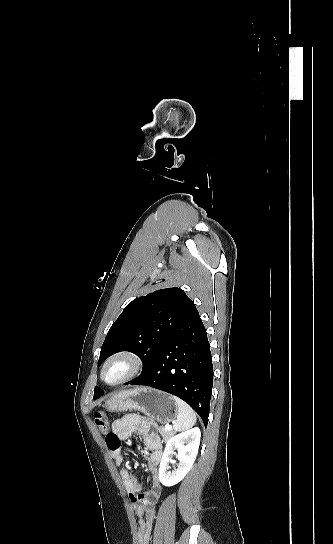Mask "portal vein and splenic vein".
<instances>
[{"mask_svg": "<svg viewBox=\"0 0 333 544\" xmlns=\"http://www.w3.org/2000/svg\"><path fill=\"white\" fill-rule=\"evenodd\" d=\"M165 431H170L172 430V426L170 424H167L164 428Z\"/></svg>", "mask_w": 333, "mask_h": 544, "instance_id": "obj_1", "label": "portal vein and splenic vein"}]
</instances>
